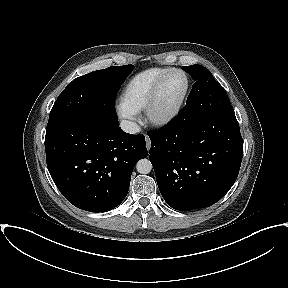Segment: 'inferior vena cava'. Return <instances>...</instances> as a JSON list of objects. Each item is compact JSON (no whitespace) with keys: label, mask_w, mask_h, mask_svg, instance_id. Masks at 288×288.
<instances>
[{"label":"inferior vena cava","mask_w":288,"mask_h":288,"mask_svg":"<svg viewBox=\"0 0 288 288\" xmlns=\"http://www.w3.org/2000/svg\"><path fill=\"white\" fill-rule=\"evenodd\" d=\"M120 127L123 131L131 134H136L140 131L138 124L129 120H122L120 122Z\"/></svg>","instance_id":"602c4592"}]
</instances>
